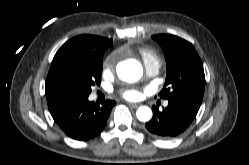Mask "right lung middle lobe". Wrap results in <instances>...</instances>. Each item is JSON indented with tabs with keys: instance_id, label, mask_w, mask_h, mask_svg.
<instances>
[{
	"instance_id": "right-lung-middle-lobe-1",
	"label": "right lung middle lobe",
	"mask_w": 249,
	"mask_h": 165,
	"mask_svg": "<svg viewBox=\"0 0 249 165\" xmlns=\"http://www.w3.org/2000/svg\"><path fill=\"white\" fill-rule=\"evenodd\" d=\"M103 53L74 51L60 64L59 82L65 95L88 96L91 86L100 84Z\"/></svg>"
}]
</instances>
